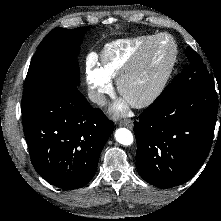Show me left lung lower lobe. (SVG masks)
Instances as JSON below:
<instances>
[{"label":"left lung lower lobe","mask_w":221,"mask_h":221,"mask_svg":"<svg viewBox=\"0 0 221 221\" xmlns=\"http://www.w3.org/2000/svg\"><path fill=\"white\" fill-rule=\"evenodd\" d=\"M219 102L212 82L162 92L134 125L140 176L165 188L188 181L210 152Z\"/></svg>","instance_id":"1"}]
</instances>
